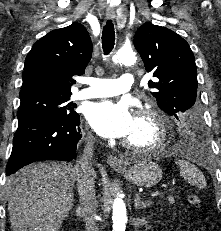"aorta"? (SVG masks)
I'll use <instances>...</instances> for the list:
<instances>
[{
    "mask_svg": "<svg viewBox=\"0 0 221 231\" xmlns=\"http://www.w3.org/2000/svg\"><path fill=\"white\" fill-rule=\"evenodd\" d=\"M112 61L115 64L132 65L136 62V54L131 48H121L114 53ZM112 231H125L127 224L126 205L121 197L114 199L112 206Z\"/></svg>",
    "mask_w": 221,
    "mask_h": 231,
    "instance_id": "762f6f07",
    "label": "aorta"
}]
</instances>
